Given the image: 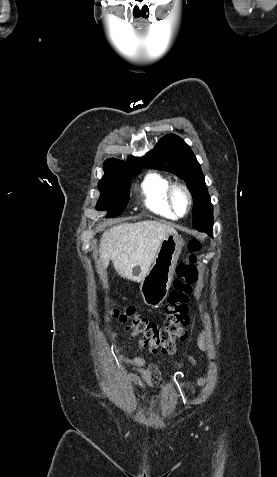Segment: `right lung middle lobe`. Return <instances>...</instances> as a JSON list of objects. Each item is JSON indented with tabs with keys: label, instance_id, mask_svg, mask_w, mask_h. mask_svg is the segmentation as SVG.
Masks as SVG:
<instances>
[{
	"label": "right lung middle lobe",
	"instance_id": "obj_1",
	"mask_svg": "<svg viewBox=\"0 0 277 477\" xmlns=\"http://www.w3.org/2000/svg\"><path fill=\"white\" fill-rule=\"evenodd\" d=\"M140 171L141 168L105 171L104 177L98 183L101 196L96 208L107 210L110 217L120 215L126 208L129 199L131 176L138 174Z\"/></svg>",
	"mask_w": 277,
	"mask_h": 477
}]
</instances>
